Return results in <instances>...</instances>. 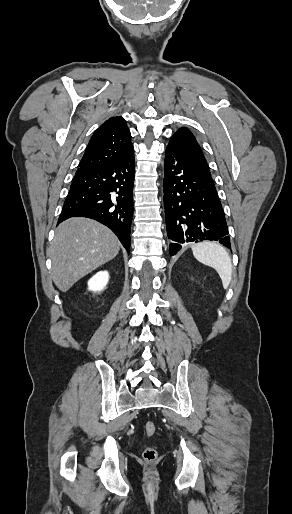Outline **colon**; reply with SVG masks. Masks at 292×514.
Returning <instances> with one entry per match:
<instances>
[{
	"label": "colon",
	"instance_id": "5ec220e1",
	"mask_svg": "<svg viewBox=\"0 0 292 514\" xmlns=\"http://www.w3.org/2000/svg\"><path fill=\"white\" fill-rule=\"evenodd\" d=\"M144 430L148 437H152L156 432V426L153 421L147 420L144 424ZM158 457L157 450L152 447L148 446L144 448L143 450V459L146 462H154Z\"/></svg>",
	"mask_w": 292,
	"mask_h": 514
}]
</instances>
